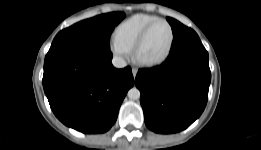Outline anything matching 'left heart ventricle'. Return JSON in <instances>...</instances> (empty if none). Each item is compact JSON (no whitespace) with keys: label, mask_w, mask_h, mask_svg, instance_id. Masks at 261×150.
I'll return each mask as SVG.
<instances>
[{"label":"left heart ventricle","mask_w":261,"mask_h":150,"mask_svg":"<svg viewBox=\"0 0 261 150\" xmlns=\"http://www.w3.org/2000/svg\"><path fill=\"white\" fill-rule=\"evenodd\" d=\"M169 39V27L165 23L155 25L141 47V58L150 60L162 56L167 50Z\"/></svg>","instance_id":"1"}]
</instances>
